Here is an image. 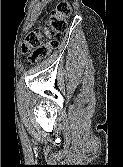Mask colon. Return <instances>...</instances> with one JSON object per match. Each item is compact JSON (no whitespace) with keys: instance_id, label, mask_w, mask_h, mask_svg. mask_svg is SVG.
<instances>
[{"instance_id":"colon-1","label":"colon","mask_w":123,"mask_h":167,"mask_svg":"<svg viewBox=\"0 0 123 167\" xmlns=\"http://www.w3.org/2000/svg\"><path fill=\"white\" fill-rule=\"evenodd\" d=\"M71 10V5L67 0H60L51 13L44 31L35 30L27 34L23 51L29 54L30 63L37 64L44 61L51 49L57 46V37L65 31Z\"/></svg>"}]
</instances>
